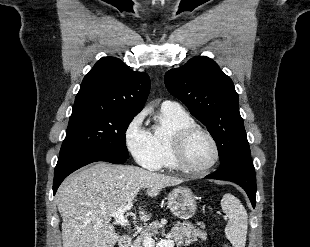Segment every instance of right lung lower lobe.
<instances>
[{"mask_svg": "<svg viewBox=\"0 0 310 247\" xmlns=\"http://www.w3.org/2000/svg\"><path fill=\"white\" fill-rule=\"evenodd\" d=\"M127 159L103 154L90 152H75L59 157L54 173L53 194L55 195L61 182L75 170L97 161H106L113 164H123Z\"/></svg>", "mask_w": 310, "mask_h": 247, "instance_id": "right-lung-lower-lobe-1", "label": "right lung lower lobe"}]
</instances>
